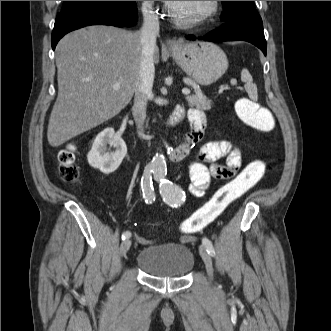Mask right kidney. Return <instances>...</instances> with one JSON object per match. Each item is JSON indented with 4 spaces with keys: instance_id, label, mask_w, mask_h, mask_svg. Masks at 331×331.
I'll return each instance as SVG.
<instances>
[{
    "instance_id": "right-kidney-1",
    "label": "right kidney",
    "mask_w": 331,
    "mask_h": 331,
    "mask_svg": "<svg viewBox=\"0 0 331 331\" xmlns=\"http://www.w3.org/2000/svg\"><path fill=\"white\" fill-rule=\"evenodd\" d=\"M107 145L113 146V151H108ZM127 154L124 140L118 136L113 128H106L94 139L91 150L87 155L90 166L99 169L104 174L114 172Z\"/></svg>"
}]
</instances>
